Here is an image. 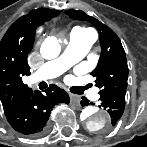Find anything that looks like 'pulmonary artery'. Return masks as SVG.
Segmentation results:
<instances>
[{"label":"pulmonary artery","instance_id":"obj_1","mask_svg":"<svg viewBox=\"0 0 147 147\" xmlns=\"http://www.w3.org/2000/svg\"><path fill=\"white\" fill-rule=\"evenodd\" d=\"M95 40L94 33H86L74 29L70 34V41L63 54L54 60L46 62L32 77V83L55 78L63 74L72 65L81 60L90 50ZM94 94L92 98H98Z\"/></svg>","mask_w":147,"mask_h":147}]
</instances>
